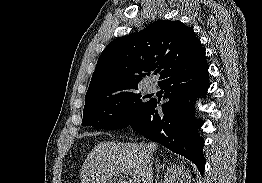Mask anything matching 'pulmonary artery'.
Instances as JSON below:
<instances>
[{"instance_id": "e3ab8cb5", "label": "pulmonary artery", "mask_w": 262, "mask_h": 183, "mask_svg": "<svg viewBox=\"0 0 262 183\" xmlns=\"http://www.w3.org/2000/svg\"><path fill=\"white\" fill-rule=\"evenodd\" d=\"M154 90V86L153 85H148L147 86V91L152 92Z\"/></svg>"}]
</instances>
